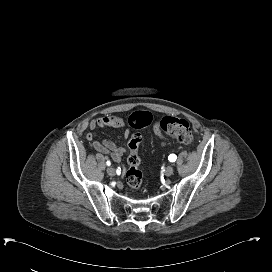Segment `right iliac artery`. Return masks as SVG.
<instances>
[{
	"mask_svg": "<svg viewBox=\"0 0 272 272\" xmlns=\"http://www.w3.org/2000/svg\"><path fill=\"white\" fill-rule=\"evenodd\" d=\"M107 165H108V166L110 165V161L107 162Z\"/></svg>",
	"mask_w": 272,
	"mask_h": 272,
	"instance_id": "82829eb1",
	"label": "right iliac artery"
}]
</instances>
